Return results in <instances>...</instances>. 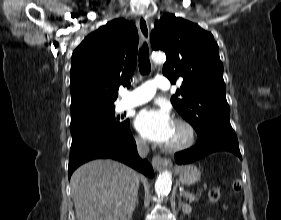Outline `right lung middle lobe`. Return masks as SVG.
<instances>
[{"label": "right lung middle lobe", "mask_w": 281, "mask_h": 220, "mask_svg": "<svg viewBox=\"0 0 281 220\" xmlns=\"http://www.w3.org/2000/svg\"><path fill=\"white\" fill-rule=\"evenodd\" d=\"M129 126V120L124 116H115V110L96 112L71 119L70 130L72 136L86 131L105 130L121 131Z\"/></svg>", "instance_id": "dd1d6c3e"}]
</instances>
